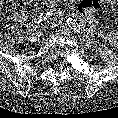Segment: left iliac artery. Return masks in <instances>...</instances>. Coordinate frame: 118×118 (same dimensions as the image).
<instances>
[{"instance_id":"obj_1","label":"left iliac artery","mask_w":118,"mask_h":118,"mask_svg":"<svg viewBox=\"0 0 118 118\" xmlns=\"http://www.w3.org/2000/svg\"><path fill=\"white\" fill-rule=\"evenodd\" d=\"M66 22L69 25V27H71V29H73L74 31H77V29L79 28V25L76 22V20L71 17H66Z\"/></svg>"}]
</instances>
